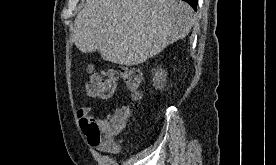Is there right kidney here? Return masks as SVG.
<instances>
[{
  "label": "right kidney",
  "mask_w": 276,
  "mask_h": 165,
  "mask_svg": "<svg viewBox=\"0 0 276 165\" xmlns=\"http://www.w3.org/2000/svg\"><path fill=\"white\" fill-rule=\"evenodd\" d=\"M167 72L163 69H158L153 77V85L156 86V89H163L166 85Z\"/></svg>",
  "instance_id": "1"
}]
</instances>
